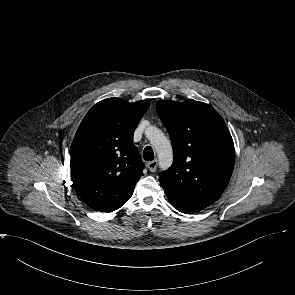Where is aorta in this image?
<instances>
[{"mask_svg":"<svg viewBox=\"0 0 295 295\" xmlns=\"http://www.w3.org/2000/svg\"><path fill=\"white\" fill-rule=\"evenodd\" d=\"M145 134L158 154L160 168H169L173 161V152L170 141L163 132L155 126H149L146 129Z\"/></svg>","mask_w":295,"mask_h":295,"instance_id":"1","label":"aorta"}]
</instances>
